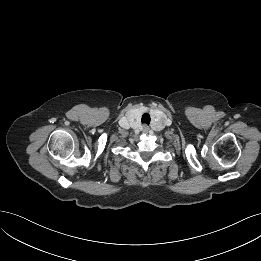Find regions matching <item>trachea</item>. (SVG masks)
I'll use <instances>...</instances> for the list:
<instances>
[{
    "mask_svg": "<svg viewBox=\"0 0 261 261\" xmlns=\"http://www.w3.org/2000/svg\"><path fill=\"white\" fill-rule=\"evenodd\" d=\"M141 122L144 124H150V115L148 113H144L141 118Z\"/></svg>",
    "mask_w": 261,
    "mask_h": 261,
    "instance_id": "1",
    "label": "trachea"
}]
</instances>
